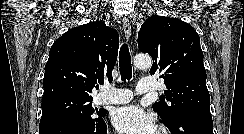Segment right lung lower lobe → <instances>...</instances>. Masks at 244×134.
I'll list each match as a JSON object with an SVG mask.
<instances>
[{
	"label": "right lung lower lobe",
	"mask_w": 244,
	"mask_h": 134,
	"mask_svg": "<svg viewBox=\"0 0 244 134\" xmlns=\"http://www.w3.org/2000/svg\"><path fill=\"white\" fill-rule=\"evenodd\" d=\"M39 134H107V127L102 118L88 122L65 120L49 124Z\"/></svg>",
	"instance_id": "1"
}]
</instances>
